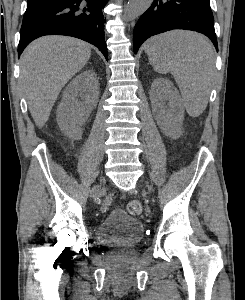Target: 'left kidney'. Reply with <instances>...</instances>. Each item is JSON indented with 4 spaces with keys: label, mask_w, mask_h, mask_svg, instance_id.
Returning <instances> with one entry per match:
<instances>
[{
    "label": "left kidney",
    "mask_w": 245,
    "mask_h": 300,
    "mask_svg": "<svg viewBox=\"0 0 245 300\" xmlns=\"http://www.w3.org/2000/svg\"><path fill=\"white\" fill-rule=\"evenodd\" d=\"M154 117L160 129L169 136H177L184 118V107L174 85L165 78H157L150 89Z\"/></svg>",
    "instance_id": "obj_1"
}]
</instances>
